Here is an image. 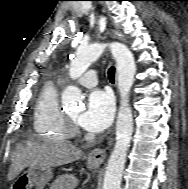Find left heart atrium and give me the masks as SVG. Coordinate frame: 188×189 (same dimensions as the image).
<instances>
[{
  "instance_id": "left-heart-atrium-1",
  "label": "left heart atrium",
  "mask_w": 188,
  "mask_h": 189,
  "mask_svg": "<svg viewBox=\"0 0 188 189\" xmlns=\"http://www.w3.org/2000/svg\"><path fill=\"white\" fill-rule=\"evenodd\" d=\"M114 103L111 94L104 90L92 91L87 99V105L78 117V123L92 132L105 130L112 122Z\"/></svg>"
}]
</instances>
